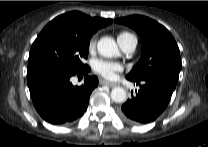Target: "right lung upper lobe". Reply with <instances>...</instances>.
<instances>
[{
  "label": "right lung upper lobe",
  "mask_w": 208,
  "mask_h": 147,
  "mask_svg": "<svg viewBox=\"0 0 208 147\" xmlns=\"http://www.w3.org/2000/svg\"><path fill=\"white\" fill-rule=\"evenodd\" d=\"M111 22L112 19L92 18L78 11H71L53 19L42 31L66 28L92 36L98 29L107 26Z\"/></svg>",
  "instance_id": "obj_1"
}]
</instances>
